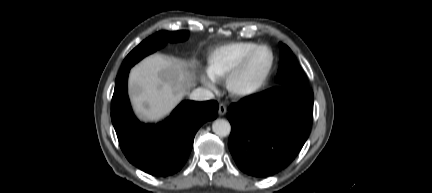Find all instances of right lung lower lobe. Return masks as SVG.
<instances>
[{
  "label": "right lung lower lobe",
  "instance_id": "obj_1",
  "mask_svg": "<svg viewBox=\"0 0 432 193\" xmlns=\"http://www.w3.org/2000/svg\"><path fill=\"white\" fill-rule=\"evenodd\" d=\"M130 68L121 70L115 81L111 119L120 147L130 163L153 176H168L179 171L191 152L200 126L217 117L216 101H183L163 122H139L128 95Z\"/></svg>",
  "mask_w": 432,
  "mask_h": 193
}]
</instances>
